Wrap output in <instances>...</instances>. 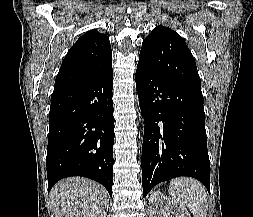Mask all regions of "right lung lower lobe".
I'll return each instance as SVG.
<instances>
[{"label": "right lung lower lobe", "instance_id": "obj_1", "mask_svg": "<svg viewBox=\"0 0 253 217\" xmlns=\"http://www.w3.org/2000/svg\"><path fill=\"white\" fill-rule=\"evenodd\" d=\"M113 70L83 83L55 90L49 112L48 191L62 178L84 176L112 196Z\"/></svg>", "mask_w": 253, "mask_h": 217}]
</instances>
